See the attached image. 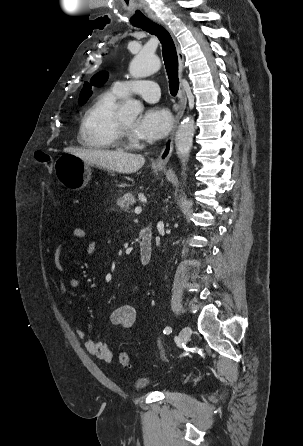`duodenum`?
Returning a JSON list of instances; mask_svg holds the SVG:
<instances>
[{
	"mask_svg": "<svg viewBox=\"0 0 303 446\" xmlns=\"http://www.w3.org/2000/svg\"><path fill=\"white\" fill-rule=\"evenodd\" d=\"M138 245L140 262L143 266H147L153 255L152 233L148 228L140 231L138 235Z\"/></svg>",
	"mask_w": 303,
	"mask_h": 446,
	"instance_id": "1",
	"label": "duodenum"
}]
</instances>
